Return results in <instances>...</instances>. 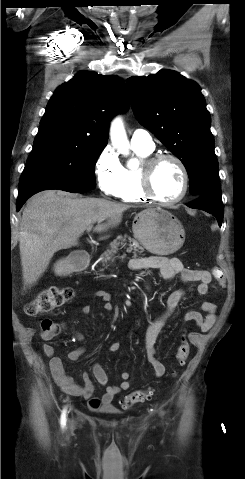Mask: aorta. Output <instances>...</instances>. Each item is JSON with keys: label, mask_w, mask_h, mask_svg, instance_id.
I'll list each match as a JSON object with an SVG mask.
<instances>
[{"label": "aorta", "mask_w": 245, "mask_h": 479, "mask_svg": "<svg viewBox=\"0 0 245 479\" xmlns=\"http://www.w3.org/2000/svg\"><path fill=\"white\" fill-rule=\"evenodd\" d=\"M111 141L119 153L127 155L129 153V142L121 118L113 120L110 128Z\"/></svg>", "instance_id": "1"}]
</instances>
